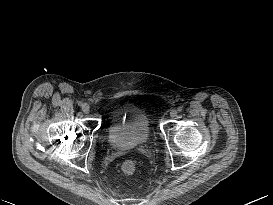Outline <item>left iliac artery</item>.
I'll use <instances>...</instances> for the list:
<instances>
[{
	"instance_id": "obj_1",
	"label": "left iliac artery",
	"mask_w": 273,
	"mask_h": 205,
	"mask_svg": "<svg viewBox=\"0 0 273 205\" xmlns=\"http://www.w3.org/2000/svg\"><path fill=\"white\" fill-rule=\"evenodd\" d=\"M177 110H178L179 112H182L183 107H182V106H179Z\"/></svg>"
}]
</instances>
